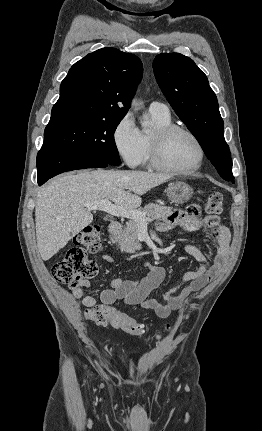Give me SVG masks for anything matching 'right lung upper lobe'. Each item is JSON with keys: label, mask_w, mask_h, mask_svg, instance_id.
<instances>
[{"label": "right lung upper lobe", "mask_w": 262, "mask_h": 431, "mask_svg": "<svg viewBox=\"0 0 262 431\" xmlns=\"http://www.w3.org/2000/svg\"><path fill=\"white\" fill-rule=\"evenodd\" d=\"M142 74V63L134 54L110 47L88 54L62 81L48 125L123 118Z\"/></svg>", "instance_id": "1"}]
</instances>
